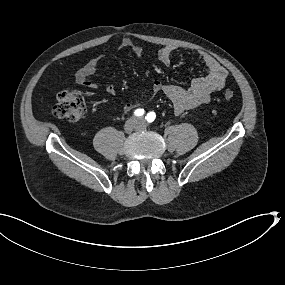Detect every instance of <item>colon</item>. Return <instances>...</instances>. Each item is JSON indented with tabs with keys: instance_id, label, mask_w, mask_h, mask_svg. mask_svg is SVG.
Masks as SVG:
<instances>
[{
	"instance_id": "1",
	"label": "colon",
	"mask_w": 285,
	"mask_h": 285,
	"mask_svg": "<svg viewBox=\"0 0 285 285\" xmlns=\"http://www.w3.org/2000/svg\"><path fill=\"white\" fill-rule=\"evenodd\" d=\"M226 100L234 97L232 90H226L223 94ZM54 114L70 122L79 121L85 113V101L82 94L75 90H65L58 94L53 107Z\"/></svg>"
}]
</instances>
